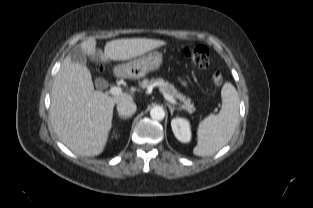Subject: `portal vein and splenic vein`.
<instances>
[{
  "label": "portal vein and splenic vein",
  "instance_id": "portal-vein-and-splenic-vein-1",
  "mask_svg": "<svg viewBox=\"0 0 313 208\" xmlns=\"http://www.w3.org/2000/svg\"><path fill=\"white\" fill-rule=\"evenodd\" d=\"M109 93L111 95H114V96H118L120 94H122V89L120 87H117V86H114V87H111L110 90H109ZM163 96L164 98L169 101L170 103L176 105L177 104V101L172 97L170 96L169 94H167L166 92H163Z\"/></svg>",
  "mask_w": 313,
  "mask_h": 208
}]
</instances>
